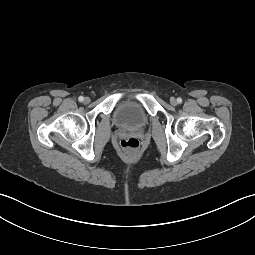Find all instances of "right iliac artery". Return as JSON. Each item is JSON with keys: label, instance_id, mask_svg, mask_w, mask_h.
<instances>
[{"label": "right iliac artery", "instance_id": "right-iliac-artery-1", "mask_svg": "<svg viewBox=\"0 0 255 255\" xmlns=\"http://www.w3.org/2000/svg\"><path fill=\"white\" fill-rule=\"evenodd\" d=\"M78 100H79L80 102H82V101L84 100V97H83V96H80V97L78 98Z\"/></svg>", "mask_w": 255, "mask_h": 255}]
</instances>
